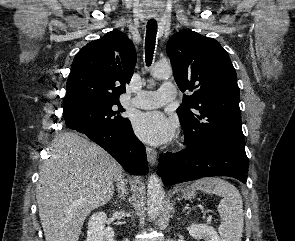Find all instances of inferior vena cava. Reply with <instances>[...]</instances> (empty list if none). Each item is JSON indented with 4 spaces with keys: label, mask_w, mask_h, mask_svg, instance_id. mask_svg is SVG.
Masks as SVG:
<instances>
[{
    "label": "inferior vena cava",
    "mask_w": 295,
    "mask_h": 241,
    "mask_svg": "<svg viewBox=\"0 0 295 241\" xmlns=\"http://www.w3.org/2000/svg\"><path fill=\"white\" fill-rule=\"evenodd\" d=\"M115 179L117 181L118 190L121 191L122 192V195H123V193H125V186H124V182L122 180V175L121 174H117L115 176Z\"/></svg>",
    "instance_id": "inferior-vena-cava-1"
}]
</instances>
